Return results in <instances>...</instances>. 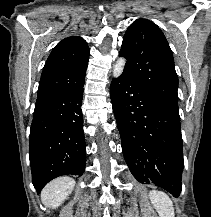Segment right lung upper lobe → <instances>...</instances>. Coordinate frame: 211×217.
<instances>
[{
  "mask_svg": "<svg viewBox=\"0 0 211 217\" xmlns=\"http://www.w3.org/2000/svg\"><path fill=\"white\" fill-rule=\"evenodd\" d=\"M89 48L79 36L63 39L48 57L41 75L36 102L72 87L86 73Z\"/></svg>",
  "mask_w": 211,
  "mask_h": 217,
  "instance_id": "cb5924a9",
  "label": "right lung upper lobe"
}]
</instances>
